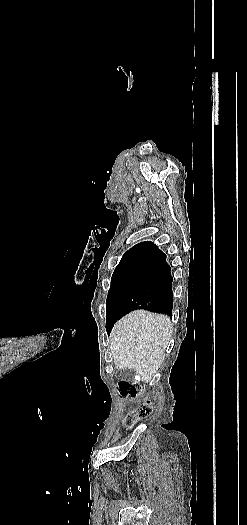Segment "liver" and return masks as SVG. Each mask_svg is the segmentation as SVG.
Here are the masks:
<instances>
[{"label":"liver","mask_w":247,"mask_h":525,"mask_svg":"<svg viewBox=\"0 0 247 525\" xmlns=\"http://www.w3.org/2000/svg\"><path fill=\"white\" fill-rule=\"evenodd\" d=\"M172 333L168 315L144 309L128 313L115 323L110 335L115 369L136 371L141 381L151 383L166 357Z\"/></svg>","instance_id":"1"}]
</instances>
